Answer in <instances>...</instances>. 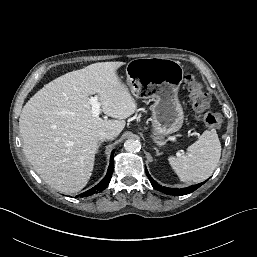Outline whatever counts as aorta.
Listing matches in <instances>:
<instances>
[{
    "mask_svg": "<svg viewBox=\"0 0 257 257\" xmlns=\"http://www.w3.org/2000/svg\"><path fill=\"white\" fill-rule=\"evenodd\" d=\"M124 148L127 152H138L141 146L138 140L128 139L124 143Z\"/></svg>",
    "mask_w": 257,
    "mask_h": 257,
    "instance_id": "obj_1",
    "label": "aorta"
}]
</instances>
